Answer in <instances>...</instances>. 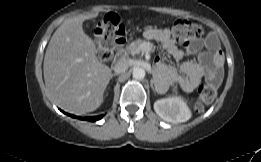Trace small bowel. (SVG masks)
<instances>
[{
    "instance_id": "small-bowel-1",
    "label": "small bowel",
    "mask_w": 261,
    "mask_h": 162,
    "mask_svg": "<svg viewBox=\"0 0 261 162\" xmlns=\"http://www.w3.org/2000/svg\"><path fill=\"white\" fill-rule=\"evenodd\" d=\"M147 37L157 41L170 55L179 60L183 52L174 43L167 28L150 29ZM205 48V50H202ZM188 52L197 55L198 61H187L180 67V74L166 65L161 58L156 59V66L162 75H168L170 82H175L186 92H192L205 77L208 81L219 85L223 78L222 66L224 54L214 35H208L204 40H195Z\"/></svg>"
}]
</instances>
